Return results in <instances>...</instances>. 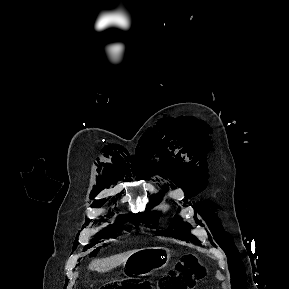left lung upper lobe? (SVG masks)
I'll list each match as a JSON object with an SVG mask.
<instances>
[{"instance_id":"obj_1","label":"left lung upper lobe","mask_w":289,"mask_h":289,"mask_svg":"<svg viewBox=\"0 0 289 289\" xmlns=\"http://www.w3.org/2000/svg\"><path fill=\"white\" fill-rule=\"evenodd\" d=\"M162 194H157V195H152L150 197L151 201L150 204H148V209L152 208L155 206L157 203L160 202ZM160 213L158 212H146L145 214L142 215V222L145 223L149 228H154L156 229L158 226V219H159ZM190 230V225L186 222H182L181 218L178 216H174V218L171 221V224L169 225V229L166 231H160L156 230V232L160 235L168 236V237H173L175 239H179L182 241H187V242H193L198 244L199 241L189 233Z\"/></svg>"}]
</instances>
